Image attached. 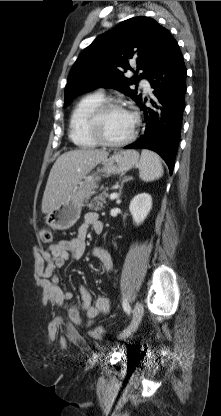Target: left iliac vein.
Returning <instances> with one entry per match:
<instances>
[{
  "label": "left iliac vein",
  "instance_id": "4c4485c4",
  "mask_svg": "<svg viewBox=\"0 0 221 416\" xmlns=\"http://www.w3.org/2000/svg\"><path fill=\"white\" fill-rule=\"evenodd\" d=\"M143 312H144V309H143L142 303L136 302L132 311V320L130 324L128 325V327L120 333L119 335L120 338H128L132 333L136 331L142 319Z\"/></svg>",
  "mask_w": 221,
  "mask_h": 416
}]
</instances>
